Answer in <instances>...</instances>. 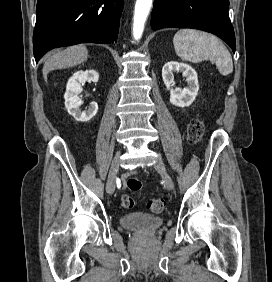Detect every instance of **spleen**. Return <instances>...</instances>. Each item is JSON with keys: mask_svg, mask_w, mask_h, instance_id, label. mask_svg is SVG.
I'll return each mask as SVG.
<instances>
[{"mask_svg": "<svg viewBox=\"0 0 272 282\" xmlns=\"http://www.w3.org/2000/svg\"><path fill=\"white\" fill-rule=\"evenodd\" d=\"M175 52L185 61L198 63L209 59L215 62L222 75L233 72L232 57L215 36L194 29H181L173 38Z\"/></svg>", "mask_w": 272, "mask_h": 282, "instance_id": "1", "label": "spleen"}]
</instances>
